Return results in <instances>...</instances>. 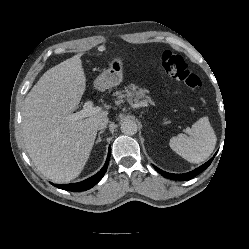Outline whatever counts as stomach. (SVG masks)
<instances>
[{
	"label": "stomach",
	"instance_id": "obj_1",
	"mask_svg": "<svg viewBox=\"0 0 249 249\" xmlns=\"http://www.w3.org/2000/svg\"><path fill=\"white\" fill-rule=\"evenodd\" d=\"M123 80V60L115 57L110 67L101 73L95 80L94 84L98 90H106L119 85Z\"/></svg>",
	"mask_w": 249,
	"mask_h": 249
}]
</instances>
